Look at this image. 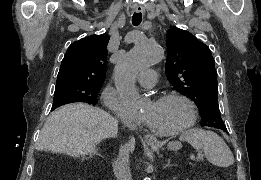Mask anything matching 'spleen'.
<instances>
[{
    "label": "spleen",
    "instance_id": "obj_1",
    "mask_svg": "<svg viewBox=\"0 0 261 180\" xmlns=\"http://www.w3.org/2000/svg\"><path fill=\"white\" fill-rule=\"evenodd\" d=\"M179 140L188 142L195 150H202L205 158L213 166L229 168V166L234 164V156L230 148L215 132H206V130L193 128V130L182 132Z\"/></svg>",
    "mask_w": 261,
    "mask_h": 180
}]
</instances>
